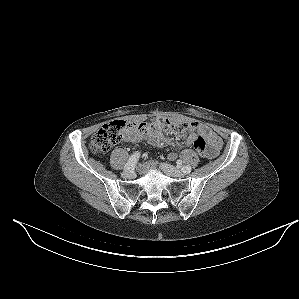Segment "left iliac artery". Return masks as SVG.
I'll return each mask as SVG.
<instances>
[{
	"label": "left iliac artery",
	"mask_w": 299,
	"mask_h": 299,
	"mask_svg": "<svg viewBox=\"0 0 299 299\" xmlns=\"http://www.w3.org/2000/svg\"><path fill=\"white\" fill-rule=\"evenodd\" d=\"M179 164H181V163H179ZM182 170L184 173L188 174L191 172L192 168H191V166L188 165V166L183 167Z\"/></svg>",
	"instance_id": "left-iliac-artery-1"
}]
</instances>
